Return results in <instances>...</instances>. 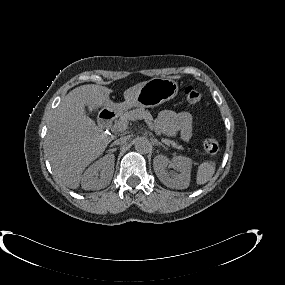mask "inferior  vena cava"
<instances>
[{"label":"inferior vena cava","mask_w":285,"mask_h":285,"mask_svg":"<svg viewBox=\"0 0 285 285\" xmlns=\"http://www.w3.org/2000/svg\"><path fill=\"white\" fill-rule=\"evenodd\" d=\"M127 142V138L126 137H121V138H118L116 139L113 144L115 145H122V144H125Z\"/></svg>","instance_id":"inferior-vena-cava-1"}]
</instances>
